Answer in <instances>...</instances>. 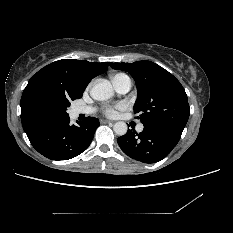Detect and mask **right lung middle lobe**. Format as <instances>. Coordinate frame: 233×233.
Segmentation results:
<instances>
[{
    "label": "right lung middle lobe",
    "instance_id": "1",
    "mask_svg": "<svg viewBox=\"0 0 233 233\" xmlns=\"http://www.w3.org/2000/svg\"><path fill=\"white\" fill-rule=\"evenodd\" d=\"M53 106L56 112L60 115V117H62L63 119H66L69 117L66 110L70 106V100L61 99V100L55 101Z\"/></svg>",
    "mask_w": 233,
    "mask_h": 233
}]
</instances>
